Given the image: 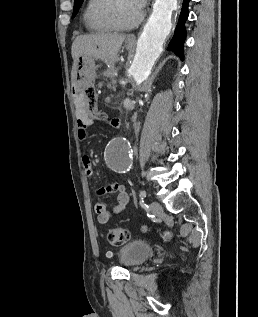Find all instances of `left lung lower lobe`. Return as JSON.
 Instances as JSON below:
<instances>
[{"label":"left lung lower lobe","mask_w":258,"mask_h":317,"mask_svg":"<svg viewBox=\"0 0 258 317\" xmlns=\"http://www.w3.org/2000/svg\"><path fill=\"white\" fill-rule=\"evenodd\" d=\"M190 0H184L182 4V9L179 17L177 27L173 38L171 39L167 50L173 51L177 56L184 60L183 56V44L186 38L185 21L188 18V4Z\"/></svg>","instance_id":"1"}]
</instances>
